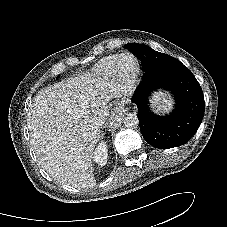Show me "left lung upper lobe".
I'll return each mask as SVG.
<instances>
[{"instance_id":"left-lung-upper-lobe-1","label":"left lung upper lobe","mask_w":227,"mask_h":227,"mask_svg":"<svg viewBox=\"0 0 227 227\" xmlns=\"http://www.w3.org/2000/svg\"><path fill=\"white\" fill-rule=\"evenodd\" d=\"M140 46H141V44H138V43H128L125 45V47L127 49H129L130 51H132L133 53H134V50L138 49ZM159 55H160V57L153 63V65L144 71L147 72L148 70H150L151 72H155V71H159L160 69H163L166 67L179 65L181 63L177 59H175L167 54L160 53Z\"/></svg>"}]
</instances>
